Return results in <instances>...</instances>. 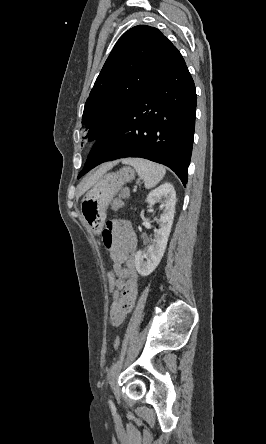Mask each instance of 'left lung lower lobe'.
<instances>
[{
    "label": "left lung lower lobe",
    "mask_w": 266,
    "mask_h": 444,
    "mask_svg": "<svg viewBox=\"0 0 266 444\" xmlns=\"http://www.w3.org/2000/svg\"><path fill=\"white\" fill-rule=\"evenodd\" d=\"M195 112V85L183 60L103 133L81 173L105 161L141 157L168 166L185 186Z\"/></svg>",
    "instance_id": "0a47b994"
}]
</instances>
